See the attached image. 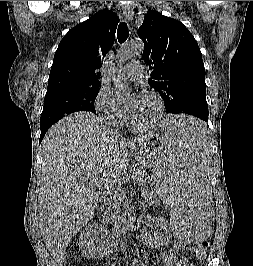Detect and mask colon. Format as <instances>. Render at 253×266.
Masks as SVG:
<instances>
[{
    "mask_svg": "<svg viewBox=\"0 0 253 266\" xmlns=\"http://www.w3.org/2000/svg\"><path fill=\"white\" fill-rule=\"evenodd\" d=\"M209 243L208 242H202L201 248H192L191 255L196 260H202L208 251ZM186 266H195L193 263H188Z\"/></svg>",
    "mask_w": 253,
    "mask_h": 266,
    "instance_id": "1",
    "label": "colon"
}]
</instances>
